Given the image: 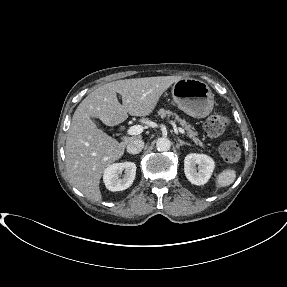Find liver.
I'll use <instances>...</instances> for the list:
<instances>
[{
    "instance_id": "obj_1",
    "label": "liver",
    "mask_w": 287,
    "mask_h": 287,
    "mask_svg": "<svg viewBox=\"0 0 287 287\" xmlns=\"http://www.w3.org/2000/svg\"><path fill=\"white\" fill-rule=\"evenodd\" d=\"M180 76L146 77L107 83L91 92L77 107L65 146L66 170L70 183L94 202H101L100 179L113 162L124 154L127 144L98 129L92 117L107 126H116L131 116H148L162 94ZM122 96V104L117 99Z\"/></svg>"
}]
</instances>
